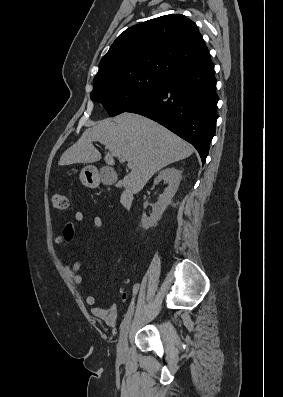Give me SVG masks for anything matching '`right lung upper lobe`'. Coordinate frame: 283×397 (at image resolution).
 Segmentation results:
<instances>
[{
	"label": "right lung upper lobe",
	"mask_w": 283,
	"mask_h": 397,
	"mask_svg": "<svg viewBox=\"0 0 283 397\" xmlns=\"http://www.w3.org/2000/svg\"><path fill=\"white\" fill-rule=\"evenodd\" d=\"M209 62L196 24L181 14L164 15L125 30L101 59L93 83L141 75L166 80Z\"/></svg>",
	"instance_id": "cb5924a9"
}]
</instances>
